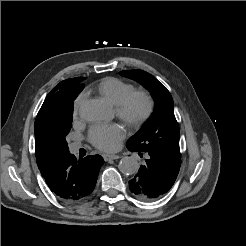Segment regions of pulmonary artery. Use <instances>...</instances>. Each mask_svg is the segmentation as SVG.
Masks as SVG:
<instances>
[{
	"label": "pulmonary artery",
	"mask_w": 246,
	"mask_h": 246,
	"mask_svg": "<svg viewBox=\"0 0 246 246\" xmlns=\"http://www.w3.org/2000/svg\"><path fill=\"white\" fill-rule=\"evenodd\" d=\"M79 147H80L79 143H72L71 150L75 152L79 149Z\"/></svg>",
	"instance_id": "obj_1"
}]
</instances>
